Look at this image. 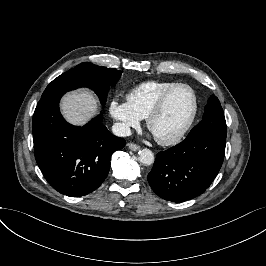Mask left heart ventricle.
Returning a JSON list of instances; mask_svg holds the SVG:
<instances>
[{"label": "left heart ventricle", "mask_w": 266, "mask_h": 266, "mask_svg": "<svg viewBox=\"0 0 266 266\" xmlns=\"http://www.w3.org/2000/svg\"><path fill=\"white\" fill-rule=\"evenodd\" d=\"M194 111V97L186 87L176 89L162 112L151 122V131L160 138L177 135L188 123Z\"/></svg>", "instance_id": "b2bd125f"}]
</instances>
